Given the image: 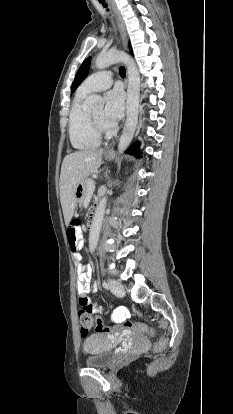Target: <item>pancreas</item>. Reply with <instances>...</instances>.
Wrapping results in <instances>:
<instances>
[{"instance_id": "cf45deb5", "label": "pancreas", "mask_w": 233, "mask_h": 414, "mask_svg": "<svg viewBox=\"0 0 233 414\" xmlns=\"http://www.w3.org/2000/svg\"><path fill=\"white\" fill-rule=\"evenodd\" d=\"M90 181H93V179L92 178H86L83 181L84 187H85V190H84L85 197L88 196L91 193V190L88 187V182H90Z\"/></svg>"}]
</instances>
